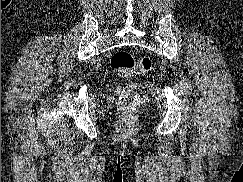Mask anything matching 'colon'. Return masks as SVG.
I'll use <instances>...</instances> for the list:
<instances>
[{
	"label": "colon",
	"mask_w": 243,
	"mask_h": 182,
	"mask_svg": "<svg viewBox=\"0 0 243 182\" xmlns=\"http://www.w3.org/2000/svg\"><path fill=\"white\" fill-rule=\"evenodd\" d=\"M110 66L119 76L129 77L136 73L148 72L152 67V61L149 57L135 58L127 51H119L113 55ZM118 94L125 113H132L140 102V95L126 88H119Z\"/></svg>",
	"instance_id": "colon-1"
}]
</instances>
